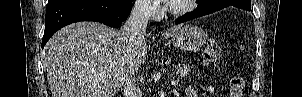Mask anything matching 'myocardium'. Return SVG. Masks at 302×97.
<instances>
[{"label":"myocardium","instance_id":"f54148a6","mask_svg":"<svg viewBox=\"0 0 302 97\" xmlns=\"http://www.w3.org/2000/svg\"><path fill=\"white\" fill-rule=\"evenodd\" d=\"M196 0H185V3L179 6L166 4L164 9L172 16H182L190 12L195 6Z\"/></svg>","mask_w":302,"mask_h":97}]
</instances>
